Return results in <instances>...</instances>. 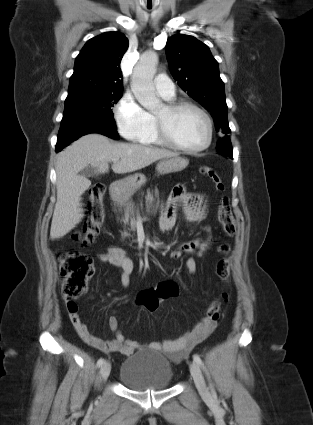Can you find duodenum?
I'll list each match as a JSON object with an SVG mask.
<instances>
[{
    "instance_id": "obj_1",
    "label": "duodenum",
    "mask_w": 313,
    "mask_h": 425,
    "mask_svg": "<svg viewBox=\"0 0 313 425\" xmlns=\"http://www.w3.org/2000/svg\"><path fill=\"white\" fill-rule=\"evenodd\" d=\"M119 191V185L118 183H112L110 186V193L112 195V197H116Z\"/></svg>"
}]
</instances>
